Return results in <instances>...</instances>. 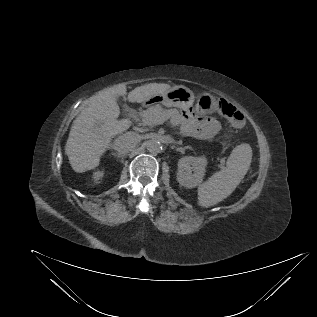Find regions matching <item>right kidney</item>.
I'll return each mask as SVG.
<instances>
[{
	"label": "right kidney",
	"instance_id": "1",
	"mask_svg": "<svg viewBox=\"0 0 317 317\" xmlns=\"http://www.w3.org/2000/svg\"><path fill=\"white\" fill-rule=\"evenodd\" d=\"M103 175H104V171L98 170V171L94 172L93 178L95 181H98L103 177Z\"/></svg>",
	"mask_w": 317,
	"mask_h": 317
}]
</instances>
